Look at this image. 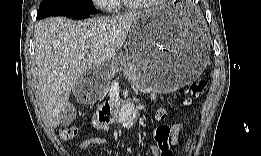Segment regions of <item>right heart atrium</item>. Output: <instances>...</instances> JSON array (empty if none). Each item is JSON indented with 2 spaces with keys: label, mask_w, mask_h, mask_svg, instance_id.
Instances as JSON below:
<instances>
[{
  "label": "right heart atrium",
  "mask_w": 261,
  "mask_h": 156,
  "mask_svg": "<svg viewBox=\"0 0 261 156\" xmlns=\"http://www.w3.org/2000/svg\"><path fill=\"white\" fill-rule=\"evenodd\" d=\"M97 5L102 9L113 11L116 7V2L113 0H101L97 2Z\"/></svg>",
  "instance_id": "obj_1"
}]
</instances>
